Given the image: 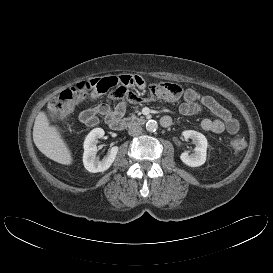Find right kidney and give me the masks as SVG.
<instances>
[{"label":"right kidney","instance_id":"1","mask_svg":"<svg viewBox=\"0 0 273 273\" xmlns=\"http://www.w3.org/2000/svg\"><path fill=\"white\" fill-rule=\"evenodd\" d=\"M104 136V130L102 128L93 129L85 138L84 141V153H83V164L84 167L91 173L104 172L112 165L119 148L113 146L107 153V155L99 160L96 157L97 142L98 139Z\"/></svg>","mask_w":273,"mask_h":273}]
</instances>
